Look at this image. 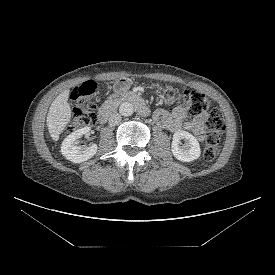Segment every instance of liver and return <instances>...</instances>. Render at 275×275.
<instances>
[{
    "label": "liver",
    "instance_id": "obj_1",
    "mask_svg": "<svg viewBox=\"0 0 275 275\" xmlns=\"http://www.w3.org/2000/svg\"><path fill=\"white\" fill-rule=\"evenodd\" d=\"M69 89L60 93L52 102L47 114V127L51 138L54 141L59 140V135L63 132L70 122L72 111L68 103Z\"/></svg>",
    "mask_w": 275,
    "mask_h": 275
}]
</instances>
